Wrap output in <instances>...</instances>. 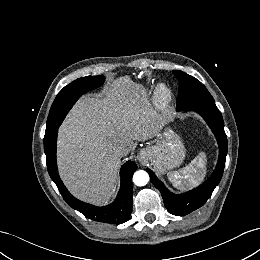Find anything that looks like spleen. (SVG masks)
I'll return each instance as SVG.
<instances>
[{
	"label": "spleen",
	"instance_id": "3e777b00",
	"mask_svg": "<svg viewBox=\"0 0 260 260\" xmlns=\"http://www.w3.org/2000/svg\"><path fill=\"white\" fill-rule=\"evenodd\" d=\"M206 154L200 152L186 167L167 174L172 185L179 190H186L199 185L206 176Z\"/></svg>",
	"mask_w": 260,
	"mask_h": 260
}]
</instances>
